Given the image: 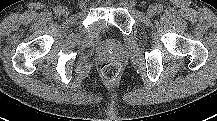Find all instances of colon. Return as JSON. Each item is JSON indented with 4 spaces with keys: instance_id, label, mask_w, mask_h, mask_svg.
Listing matches in <instances>:
<instances>
[{
    "instance_id": "5ec220e1",
    "label": "colon",
    "mask_w": 217,
    "mask_h": 121,
    "mask_svg": "<svg viewBox=\"0 0 217 121\" xmlns=\"http://www.w3.org/2000/svg\"><path fill=\"white\" fill-rule=\"evenodd\" d=\"M101 75L107 81L116 80L122 71L121 64L117 61H108L101 65Z\"/></svg>"
}]
</instances>
